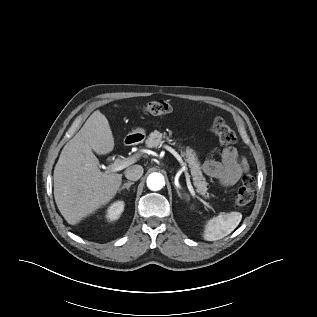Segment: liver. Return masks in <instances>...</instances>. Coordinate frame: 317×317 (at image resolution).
<instances>
[{"mask_svg": "<svg viewBox=\"0 0 317 317\" xmlns=\"http://www.w3.org/2000/svg\"><path fill=\"white\" fill-rule=\"evenodd\" d=\"M114 148V137L105 115L93 112L81 130L63 147L54 169V197L70 225L107 204L122 183V174L101 172L95 154Z\"/></svg>", "mask_w": 317, "mask_h": 317, "instance_id": "liver-1", "label": "liver"}]
</instances>
